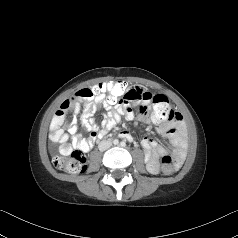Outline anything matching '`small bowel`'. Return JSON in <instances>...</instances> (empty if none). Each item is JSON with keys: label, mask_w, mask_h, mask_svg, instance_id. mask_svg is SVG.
<instances>
[{"label": "small bowel", "mask_w": 238, "mask_h": 238, "mask_svg": "<svg viewBox=\"0 0 238 238\" xmlns=\"http://www.w3.org/2000/svg\"><path fill=\"white\" fill-rule=\"evenodd\" d=\"M153 98L154 96L144 88L134 86L128 90L119 103H111L97 97L87 102L84 105V110L82 104L78 101L67 99L62 102L52 118V140L60 144L59 150L63 155L69 154L72 148L85 152L89 151L96 139L103 138L121 120L132 121L135 118L132 105H137L140 112L139 119L146 123L153 122L157 132L170 142L176 159L181 161L186 149V129L182 117L179 113H176L175 117L168 122H158L150 119L146 110H148V105L153 101ZM70 108H73L74 116L69 123L68 133H66L61 129V126L64 123L66 112ZM99 108L105 111L101 128L98 127L94 117V112ZM78 117L82 126L90 132L88 139L74 135L78 128ZM120 136L129 141L132 140V135L127 130L121 131ZM141 145L144 149L148 170L151 173H157L159 171V159L167 154L168 149L150 137L143 138Z\"/></svg>", "instance_id": "1"}]
</instances>
